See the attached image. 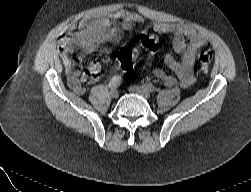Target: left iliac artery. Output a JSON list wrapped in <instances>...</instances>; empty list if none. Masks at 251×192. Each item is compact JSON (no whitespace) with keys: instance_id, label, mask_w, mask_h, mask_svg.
<instances>
[{"instance_id":"left-iliac-artery-1","label":"left iliac artery","mask_w":251,"mask_h":192,"mask_svg":"<svg viewBox=\"0 0 251 192\" xmlns=\"http://www.w3.org/2000/svg\"><path fill=\"white\" fill-rule=\"evenodd\" d=\"M143 87H144L146 90H148L149 92H155V91H156L155 86H154L153 84H151V83H145V84L143 85Z\"/></svg>"}]
</instances>
